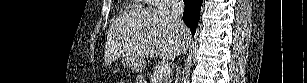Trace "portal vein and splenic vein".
<instances>
[{"instance_id": "portal-vein-and-splenic-vein-1", "label": "portal vein and splenic vein", "mask_w": 307, "mask_h": 83, "mask_svg": "<svg viewBox=\"0 0 307 83\" xmlns=\"http://www.w3.org/2000/svg\"><path fill=\"white\" fill-rule=\"evenodd\" d=\"M170 72H171L170 66L168 64H163L158 70V74H157V78L155 79V83L167 77L170 74Z\"/></svg>"}]
</instances>
